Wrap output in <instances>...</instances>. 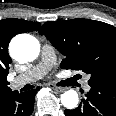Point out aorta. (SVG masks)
Here are the masks:
<instances>
[{"instance_id": "obj_1", "label": "aorta", "mask_w": 116, "mask_h": 116, "mask_svg": "<svg viewBox=\"0 0 116 116\" xmlns=\"http://www.w3.org/2000/svg\"><path fill=\"white\" fill-rule=\"evenodd\" d=\"M39 51V41L29 34L17 35L10 43L11 56L22 63L34 60ZM60 99L62 105L67 109H74L79 103L78 93L75 90H67L61 95Z\"/></svg>"}]
</instances>
